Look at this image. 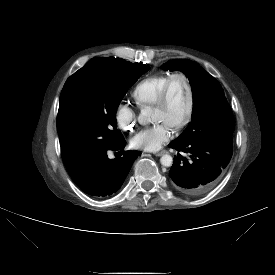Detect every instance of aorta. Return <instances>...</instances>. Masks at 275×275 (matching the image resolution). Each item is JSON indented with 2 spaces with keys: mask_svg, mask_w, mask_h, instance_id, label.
Listing matches in <instances>:
<instances>
[{
  "mask_svg": "<svg viewBox=\"0 0 275 275\" xmlns=\"http://www.w3.org/2000/svg\"><path fill=\"white\" fill-rule=\"evenodd\" d=\"M152 114H153V111H152V109L150 107L143 108L141 110V113L139 114L138 122L141 125L148 124L151 121V119H152ZM160 163H161V165H163L165 167H170L172 165V163H173V158L169 154H164L160 158Z\"/></svg>",
  "mask_w": 275,
  "mask_h": 275,
  "instance_id": "aorta-1",
  "label": "aorta"
}]
</instances>
